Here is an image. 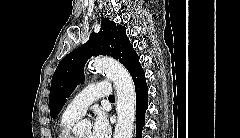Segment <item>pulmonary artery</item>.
<instances>
[{
	"label": "pulmonary artery",
	"mask_w": 240,
	"mask_h": 138,
	"mask_svg": "<svg viewBox=\"0 0 240 138\" xmlns=\"http://www.w3.org/2000/svg\"><path fill=\"white\" fill-rule=\"evenodd\" d=\"M110 95L111 88L109 82L96 81L88 85L69 102L63 115L68 117H80L98 98L109 97Z\"/></svg>",
	"instance_id": "1"
}]
</instances>
